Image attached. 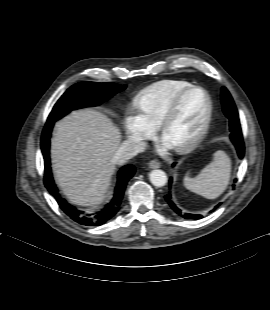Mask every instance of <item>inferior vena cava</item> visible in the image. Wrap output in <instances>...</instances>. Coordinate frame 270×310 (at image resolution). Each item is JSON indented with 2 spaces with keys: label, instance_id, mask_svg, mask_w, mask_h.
Instances as JSON below:
<instances>
[{
  "label": "inferior vena cava",
  "instance_id": "inferior-vena-cava-1",
  "mask_svg": "<svg viewBox=\"0 0 270 310\" xmlns=\"http://www.w3.org/2000/svg\"><path fill=\"white\" fill-rule=\"evenodd\" d=\"M145 148V142L126 140L119 146L112 158V161L116 164L122 165L138 153L143 152Z\"/></svg>",
  "mask_w": 270,
  "mask_h": 310
}]
</instances>
